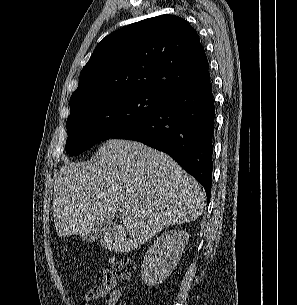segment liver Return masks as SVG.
Wrapping results in <instances>:
<instances>
[{
  "instance_id": "liver-1",
  "label": "liver",
  "mask_w": 297,
  "mask_h": 305,
  "mask_svg": "<svg viewBox=\"0 0 297 305\" xmlns=\"http://www.w3.org/2000/svg\"><path fill=\"white\" fill-rule=\"evenodd\" d=\"M205 200L201 185L170 156L139 142L110 139L99 148L95 163L60 168L52 208L61 238L112 222L123 209V225L100 243L128 253L170 225L196 220Z\"/></svg>"
}]
</instances>
